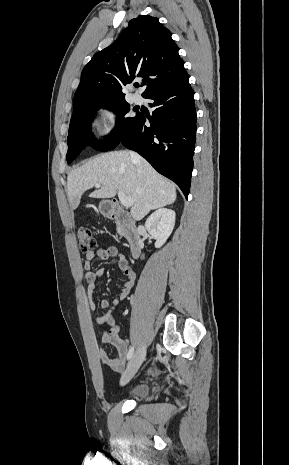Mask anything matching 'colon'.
Here are the masks:
<instances>
[{"label":"colon","mask_w":289,"mask_h":465,"mask_svg":"<svg viewBox=\"0 0 289 465\" xmlns=\"http://www.w3.org/2000/svg\"><path fill=\"white\" fill-rule=\"evenodd\" d=\"M77 239L79 249L83 252H89L95 249L96 242L92 236V232L87 227H81L77 231Z\"/></svg>","instance_id":"5ec220e1"}]
</instances>
